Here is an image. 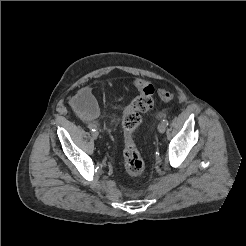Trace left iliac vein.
Masks as SVG:
<instances>
[{"mask_svg":"<svg viewBox=\"0 0 246 246\" xmlns=\"http://www.w3.org/2000/svg\"><path fill=\"white\" fill-rule=\"evenodd\" d=\"M158 131L160 133H164L165 132V126L162 123L158 125Z\"/></svg>","mask_w":246,"mask_h":246,"instance_id":"left-iliac-vein-1","label":"left iliac vein"}]
</instances>
